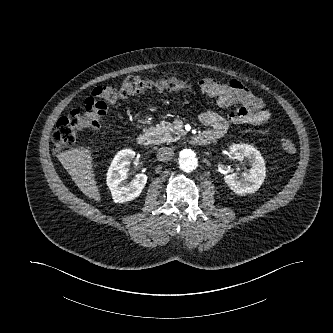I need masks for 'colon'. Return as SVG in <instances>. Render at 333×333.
<instances>
[{
	"instance_id": "1",
	"label": "colon",
	"mask_w": 333,
	"mask_h": 333,
	"mask_svg": "<svg viewBox=\"0 0 333 333\" xmlns=\"http://www.w3.org/2000/svg\"><path fill=\"white\" fill-rule=\"evenodd\" d=\"M188 87L187 80L142 76H129L119 87L97 86L86 97L82 109L72 110L56 123L52 133L54 151L60 154L67 150L74 143L78 130L98 127L106 114L108 104L127 99L148 89L172 92ZM281 147L288 155H294L297 151L294 142L289 138L281 139Z\"/></svg>"
}]
</instances>
